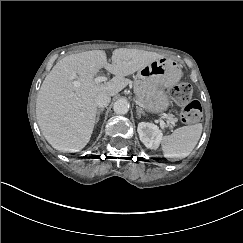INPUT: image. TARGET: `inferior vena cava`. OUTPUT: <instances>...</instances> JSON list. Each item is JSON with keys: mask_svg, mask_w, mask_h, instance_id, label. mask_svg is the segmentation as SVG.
I'll return each instance as SVG.
<instances>
[{"mask_svg": "<svg viewBox=\"0 0 243 243\" xmlns=\"http://www.w3.org/2000/svg\"><path fill=\"white\" fill-rule=\"evenodd\" d=\"M110 96L106 93H99L95 99L94 103L98 107H106L110 103Z\"/></svg>", "mask_w": 243, "mask_h": 243, "instance_id": "1", "label": "inferior vena cava"}]
</instances>
